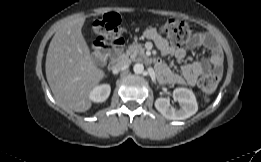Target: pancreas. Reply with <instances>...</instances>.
Here are the masks:
<instances>
[{
	"mask_svg": "<svg viewBox=\"0 0 261 162\" xmlns=\"http://www.w3.org/2000/svg\"><path fill=\"white\" fill-rule=\"evenodd\" d=\"M144 55V48L139 43H133L131 44L126 52L122 55L124 58L130 57L131 59H135L137 55Z\"/></svg>",
	"mask_w": 261,
	"mask_h": 162,
	"instance_id": "1",
	"label": "pancreas"
}]
</instances>
